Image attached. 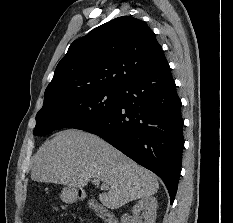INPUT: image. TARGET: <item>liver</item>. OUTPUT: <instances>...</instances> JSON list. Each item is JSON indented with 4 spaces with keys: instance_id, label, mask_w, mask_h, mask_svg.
<instances>
[{
    "instance_id": "6515ba94",
    "label": "liver",
    "mask_w": 233,
    "mask_h": 223,
    "mask_svg": "<svg viewBox=\"0 0 233 223\" xmlns=\"http://www.w3.org/2000/svg\"><path fill=\"white\" fill-rule=\"evenodd\" d=\"M91 177L107 183L108 191L98 193V199L109 209L153 195L159 187L152 171L137 165L98 135L81 129L58 131L32 157L33 181L85 187Z\"/></svg>"
}]
</instances>
